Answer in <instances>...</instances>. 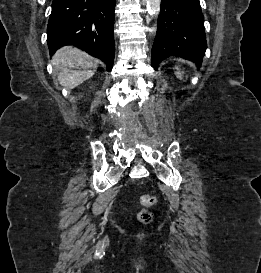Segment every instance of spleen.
<instances>
[{"instance_id":"3e777b00","label":"spleen","mask_w":261,"mask_h":273,"mask_svg":"<svg viewBox=\"0 0 261 273\" xmlns=\"http://www.w3.org/2000/svg\"><path fill=\"white\" fill-rule=\"evenodd\" d=\"M175 74H176V76L180 79V80H182L183 79V71H181L178 67H175Z\"/></svg>"}]
</instances>
